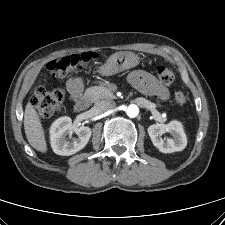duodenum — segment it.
<instances>
[{
	"instance_id": "obj_1",
	"label": "duodenum",
	"mask_w": 225,
	"mask_h": 225,
	"mask_svg": "<svg viewBox=\"0 0 225 225\" xmlns=\"http://www.w3.org/2000/svg\"><path fill=\"white\" fill-rule=\"evenodd\" d=\"M91 104L90 96H82L75 102V110L78 113L85 112Z\"/></svg>"
}]
</instances>
